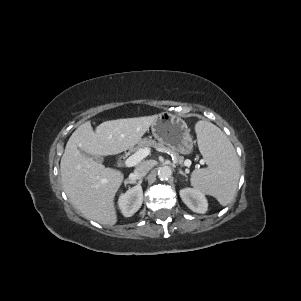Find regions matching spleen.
Masks as SVG:
<instances>
[{"instance_id": "obj_1", "label": "spleen", "mask_w": 301, "mask_h": 301, "mask_svg": "<svg viewBox=\"0 0 301 301\" xmlns=\"http://www.w3.org/2000/svg\"><path fill=\"white\" fill-rule=\"evenodd\" d=\"M198 146L208 167L194 170L191 185L215 197L222 206L234 198L239 180V159L227 136L214 124H196Z\"/></svg>"}]
</instances>
